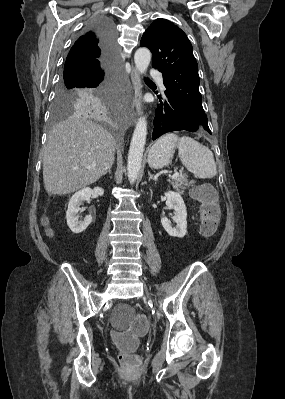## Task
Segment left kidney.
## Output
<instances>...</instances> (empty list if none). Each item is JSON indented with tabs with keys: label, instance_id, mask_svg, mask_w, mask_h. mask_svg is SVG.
Here are the masks:
<instances>
[{
	"label": "left kidney",
	"instance_id": "1",
	"mask_svg": "<svg viewBox=\"0 0 285 399\" xmlns=\"http://www.w3.org/2000/svg\"><path fill=\"white\" fill-rule=\"evenodd\" d=\"M165 196L167 197L166 205L168 209H174L172 219L177 225L173 228L170 220L163 217L161 219L162 226L170 236L182 238L187 233V211L183 198L179 193L173 191L166 192Z\"/></svg>",
	"mask_w": 285,
	"mask_h": 399
}]
</instances>
